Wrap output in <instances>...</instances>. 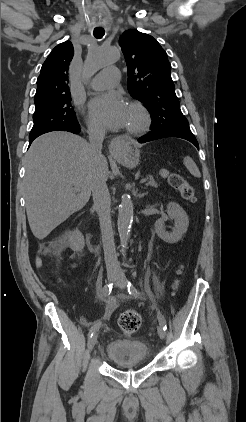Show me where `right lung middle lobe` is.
<instances>
[{
	"label": "right lung middle lobe",
	"mask_w": 246,
	"mask_h": 422,
	"mask_svg": "<svg viewBox=\"0 0 246 422\" xmlns=\"http://www.w3.org/2000/svg\"><path fill=\"white\" fill-rule=\"evenodd\" d=\"M34 125L29 138L40 136L57 128H72L78 125L70 96L58 98L40 108L33 115Z\"/></svg>",
	"instance_id": "1"
}]
</instances>
